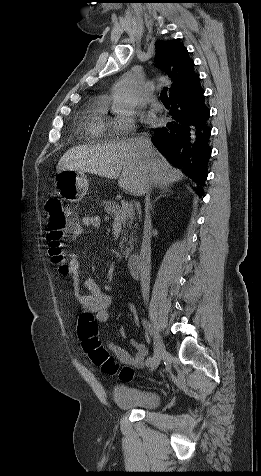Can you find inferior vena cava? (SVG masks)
Listing matches in <instances>:
<instances>
[{
  "instance_id": "obj_1",
  "label": "inferior vena cava",
  "mask_w": 261,
  "mask_h": 476,
  "mask_svg": "<svg viewBox=\"0 0 261 476\" xmlns=\"http://www.w3.org/2000/svg\"><path fill=\"white\" fill-rule=\"evenodd\" d=\"M131 141L135 142L136 146L138 147V153L140 155H148L151 150V141L146 138H139V139H131ZM144 188L143 194L147 195L150 193L152 181L150 176H146L143 180ZM149 205L145 204V221H144V230H143V240L141 245V251L139 255V271H140V285L142 296L144 301H148L149 298V290H150V270H151V218L149 212Z\"/></svg>"
}]
</instances>
